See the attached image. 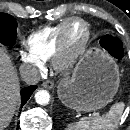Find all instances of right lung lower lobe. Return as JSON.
<instances>
[{"mask_svg": "<svg viewBox=\"0 0 130 130\" xmlns=\"http://www.w3.org/2000/svg\"><path fill=\"white\" fill-rule=\"evenodd\" d=\"M36 88L37 86H28L21 90V106H23L27 102V100L30 98L31 94Z\"/></svg>", "mask_w": 130, "mask_h": 130, "instance_id": "obj_1", "label": "right lung lower lobe"}]
</instances>
